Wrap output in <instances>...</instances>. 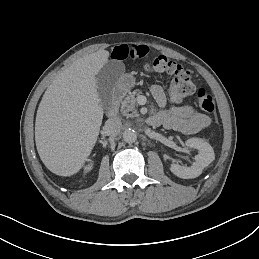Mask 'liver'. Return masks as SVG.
I'll use <instances>...</instances> for the list:
<instances>
[{
	"label": "liver",
	"mask_w": 259,
	"mask_h": 259,
	"mask_svg": "<svg viewBox=\"0 0 259 259\" xmlns=\"http://www.w3.org/2000/svg\"><path fill=\"white\" fill-rule=\"evenodd\" d=\"M109 56L104 49L85 54L59 73L43 95L35 143L41 161L55 175L77 174L97 143L103 110L96 75Z\"/></svg>",
	"instance_id": "liver-1"
}]
</instances>
